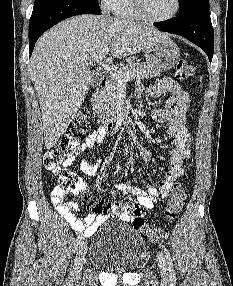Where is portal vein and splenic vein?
Returning a JSON list of instances; mask_svg holds the SVG:
<instances>
[{"instance_id": "1", "label": "portal vein and splenic vein", "mask_w": 233, "mask_h": 286, "mask_svg": "<svg viewBox=\"0 0 233 286\" xmlns=\"http://www.w3.org/2000/svg\"><path fill=\"white\" fill-rule=\"evenodd\" d=\"M109 52V47H105L102 49L101 53L99 54V56L95 59V61L102 66L110 75H112L113 77H117L118 78V82L119 83H123L128 81L129 79L132 78V74L128 73L126 75H121L118 76L116 74V72L111 68V66H109L108 64L103 62V59L105 58V56L108 54Z\"/></svg>"}]
</instances>
